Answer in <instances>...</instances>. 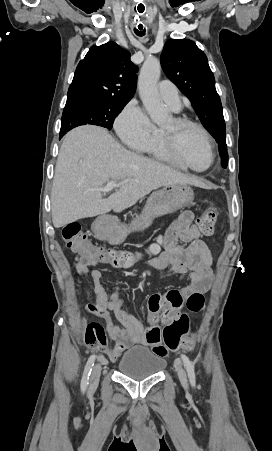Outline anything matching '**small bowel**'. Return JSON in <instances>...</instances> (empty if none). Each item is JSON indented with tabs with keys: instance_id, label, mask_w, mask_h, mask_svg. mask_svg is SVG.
<instances>
[{
	"instance_id": "1",
	"label": "small bowel",
	"mask_w": 272,
	"mask_h": 451,
	"mask_svg": "<svg viewBox=\"0 0 272 451\" xmlns=\"http://www.w3.org/2000/svg\"><path fill=\"white\" fill-rule=\"evenodd\" d=\"M194 216L184 211L172 224L166 227L164 237L159 238L165 250L159 256L148 261L147 265L159 270H169L181 277H187L190 284L180 290L167 293L154 291L148 298L150 317L160 316L163 322L174 319L187 304L190 295H201L209 291L213 283L211 251L201 236V230L193 223ZM135 257L132 256V263ZM95 266L108 262L104 258L91 256ZM131 263V265H132ZM130 265V266H131ZM85 270L80 276H89L93 282L94 301L89 302V293L85 287L79 288L86 304L84 314L103 319L114 346L103 348L111 362H116L120 354L134 344H146L144 334L147 328L127 311L124 293L117 285L109 292L102 285V273L97 268ZM129 268V267H128ZM109 311H112L123 328L113 324ZM85 325V319L82 320ZM193 338V337H192Z\"/></svg>"
}]
</instances>
